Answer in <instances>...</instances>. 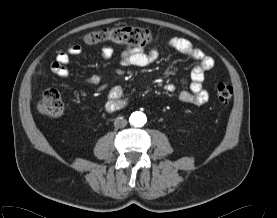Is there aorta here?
<instances>
[{
  "label": "aorta",
  "instance_id": "aorta-1",
  "mask_svg": "<svg viewBox=\"0 0 277 218\" xmlns=\"http://www.w3.org/2000/svg\"><path fill=\"white\" fill-rule=\"evenodd\" d=\"M146 120V115L139 111L133 112L129 118L130 124L134 127H142Z\"/></svg>",
  "mask_w": 277,
  "mask_h": 218
}]
</instances>
